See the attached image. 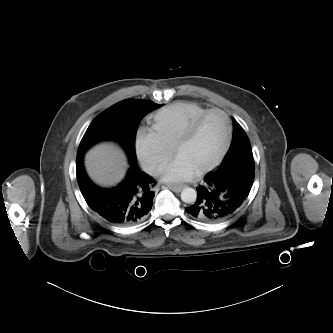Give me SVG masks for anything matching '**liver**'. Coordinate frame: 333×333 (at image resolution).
Returning <instances> with one entry per match:
<instances>
[{"label":"liver","mask_w":333,"mask_h":333,"mask_svg":"<svg viewBox=\"0 0 333 333\" xmlns=\"http://www.w3.org/2000/svg\"><path fill=\"white\" fill-rule=\"evenodd\" d=\"M85 165L92 180L103 186L118 182L127 166L123 152L109 145L90 150L85 157Z\"/></svg>","instance_id":"obj_1"}]
</instances>
